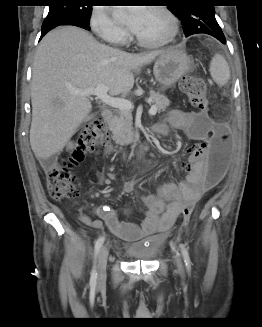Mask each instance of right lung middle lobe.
<instances>
[{"label": "right lung middle lobe", "mask_w": 262, "mask_h": 327, "mask_svg": "<svg viewBox=\"0 0 262 327\" xmlns=\"http://www.w3.org/2000/svg\"><path fill=\"white\" fill-rule=\"evenodd\" d=\"M68 1L67 4H57L49 6V13L43 23H49L58 19H78L84 22H89L92 11V6H81L75 4L74 0H59Z\"/></svg>", "instance_id": "obj_1"}]
</instances>
